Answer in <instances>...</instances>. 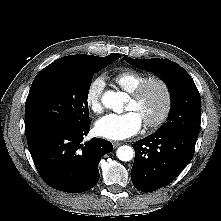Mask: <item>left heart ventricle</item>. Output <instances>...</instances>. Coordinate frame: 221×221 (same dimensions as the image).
<instances>
[{
    "label": "left heart ventricle",
    "mask_w": 221,
    "mask_h": 221,
    "mask_svg": "<svg viewBox=\"0 0 221 221\" xmlns=\"http://www.w3.org/2000/svg\"><path fill=\"white\" fill-rule=\"evenodd\" d=\"M163 106V91L159 86L153 85L139 101L135 102L130 99L127 110L135 111L140 116L142 122H146L155 119L161 113Z\"/></svg>",
    "instance_id": "1"
}]
</instances>
